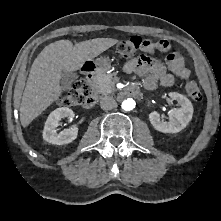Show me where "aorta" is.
I'll use <instances>...</instances> for the list:
<instances>
[{
	"label": "aorta",
	"mask_w": 221,
	"mask_h": 221,
	"mask_svg": "<svg viewBox=\"0 0 221 221\" xmlns=\"http://www.w3.org/2000/svg\"><path fill=\"white\" fill-rule=\"evenodd\" d=\"M135 101L133 99H126L122 102L121 107L125 111H131L135 108Z\"/></svg>",
	"instance_id": "1"
}]
</instances>
